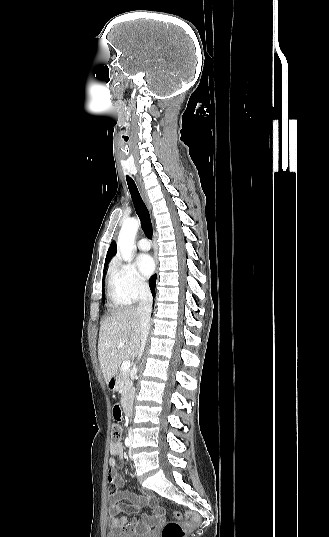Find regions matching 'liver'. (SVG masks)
Here are the masks:
<instances>
[{"label": "liver", "mask_w": 329, "mask_h": 537, "mask_svg": "<svg viewBox=\"0 0 329 537\" xmlns=\"http://www.w3.org/2000/svg\"><path fill=\"white\" fill-rule=\"evenodd\" d=\"M124 342L121 348L117 346ZM141 345L140 315L135 308L116 311L100 327L98 358L105 382L114 377L122 361L134 358Z\"/></svg>", "instance_id": "obj_1"}]
</instances>
